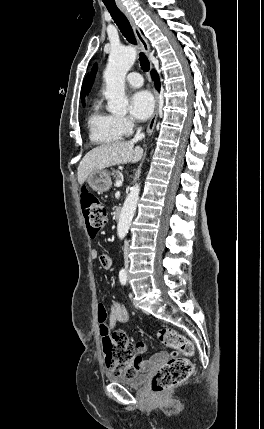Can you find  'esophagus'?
Returning <instances> with one entry per match:
<instances>
[{
	"label": "esophagus",
	"mask_w": 264,
	"mask_h": 429,
	"mask_svg": "<svg viewBox=\"0 0 264 429\" xmlns=\"http://www.w3.org/2000/svg\"><path fill=\"white\" fill-rule=\"evenodd\" d=\"M118 8L124 13V15L129 20V22H130V24H131V26H132V28H133V30L135 32V35H136L137 39L139 40V42H140V44L142 46V49H143L144 53L145 54H149L150 53V45H149L147 39L141 33V31L138 28V26L136 25L133 17L131 16V14L129 13V11L127 10V8L123 4H121V3L118 4ZM154 98H155L154 112H153V115H152V117H151V119H150V121L148 123L147 130H146V132H147L148 135H150L153 132V129L155 127V124H156V121H157V118H158L159 94H158V92L155 89H154Z\"/></svg>",
	"instance_id": "esophagus-1"
}]
</instances>
